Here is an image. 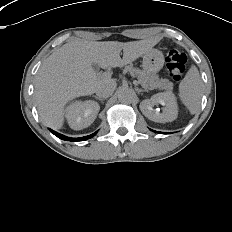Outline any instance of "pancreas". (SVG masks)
Here are the masks:
<instances>
[{"label":"pancreas","instance_id":"pancreas-1","mask_svg":"<svg viewBox=\"0 0 232 232\" xmlns=\"http://www.w3.org/2000/svg\"><path fill=\"white\" fill-rule=\"evenodd\" d=\"M130 73L132 75L138 76L140 82L147 84L152 88H172V83L167 79H159V77L154 73H148L141 71L137 68L130 67Z\"/></svg>","mask_w":232,"mask_h":232}]
</instances>
